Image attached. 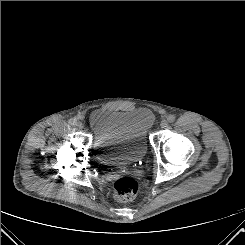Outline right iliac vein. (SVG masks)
Returning a JSON list of instances; mask_svg holds the SVG:
<instances>
[{
	"label": "right iliac vein",
	"instance_id": "1",
	"mask_svg": "<svg viewBox=\"0 0 245 245\" xmlns=\"http://www.w3.org/2000/svg\"><path fill=\"white\" fill-rule=\"evenodd\" d=\"M76 127L79 128V129H82L84 127L83 123L82 122H77L76 124Z\"/></svg>",
	"mask_w": 245,
	"mask_h": 245
}]
</instances>
